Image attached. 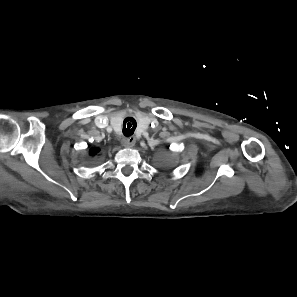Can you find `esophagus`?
Listing matches in <instances>:
<instances>
[{"label":"esophagus","instance_id":"34e87169","mask_svg":"<svg viewBox=\"0 0 297 297\" xmlns=\"http://www.w3.org/2000/svg\"><path fill=\"white\" fill-rule=\"evenodd\" d=\"M136 142V138L134 136H130L128 138L123 139L122 143L126 147H133Z\"/></svg>","mask_w":297,"mask_h":297}]
</instances>
